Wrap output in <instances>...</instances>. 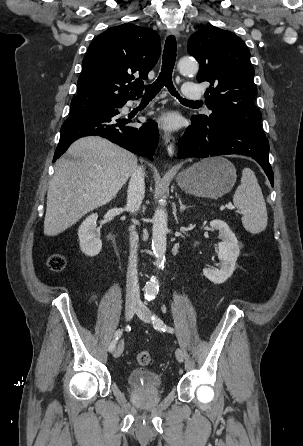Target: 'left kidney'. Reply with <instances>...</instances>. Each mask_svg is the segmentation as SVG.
Returning a JSON list of instances; mask_svg holds the SVG:
<instances>
[{
    "label": "left kidney",
    "mask_w": 303,
    "mask_h": 446,
    "mask_svg": "<svg viewBox=\"0 0 303 446\" xmlns=\"http://www.w3.org/2000/svg\"><path fill=\"white\" fill-rule=\"evenodd\" d=\"M210 226L219 231V237L222 239V242L218 244L220 269L204 268L203 274L211 282L221 284L233 274L240 249L235 234L224 221L212 220Z\"/></svg>",
    "instance_id": "left-kidney-1"
}]
</instances>
